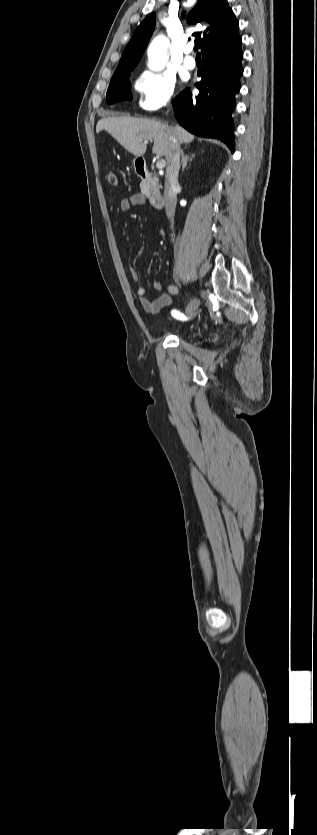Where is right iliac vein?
Instances as JSON below:
<instances>
[{"label":"right iliac vein","instance_id":"right-iliac-vein-1","mask_svg":"<svg viewBox=\"0 0 317 835\" xmlns=\"http://www.w3.org/2000/svg\"><path fill=\"white\" fill-rule=\"evenodd\" d=\"M192 302H194V303H196V304H197V306H196V308H197V307H198V305H199V301H198V299H194ZM196 308H195V309H196ZM195 309H194V308H192V306L188 305V306H187V308H186V310H185V312H186V314H191V313H193V312H194V310H195Z\"/></svg>","mask_w":317,"mask_h":835}]
</instances>
